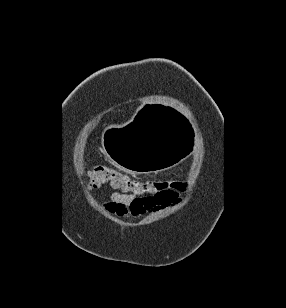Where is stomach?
I'll use <instances>...</instances> for the list:
<instances>
[{"instance_id": "stomach-1", "label": "stomach", "mask_w": 286, "mask_h": 308, "mask_svg": "<svg viewBox=\"0 0 286 308\" xmlns=\"http://www.w3.org/2000/svg\"><path fill=\"white\" fill-rule=\"evenodd\" d=\"M138 118L124 122H103L104 154L117 167L135 173H165L175 168L185 153H194L198 142H191L184 112L157 107V100H142Z\"/></svg>"}]
</instances>
